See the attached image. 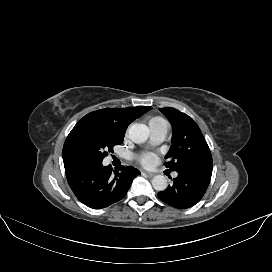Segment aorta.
<instances>
[{"label":"aorta","instance_id":"aorta-1","mask_svg":"<svg viewBox=\"0 0 272 272\" xmlns=\"http://www.w3.org/2000/svg\"><path fill=\"white\" fill-rule=\"evenodd\" d=\"M130 140L136 144L145 142L149 136V130L142 124H133L128 131ZM152 186L157 191H164L168 186L167 178L163 175H156L152 179Z\"/></svg>","mask_w":272,"mask_h":272}]
</instances>
